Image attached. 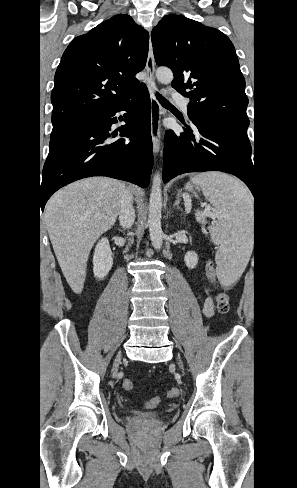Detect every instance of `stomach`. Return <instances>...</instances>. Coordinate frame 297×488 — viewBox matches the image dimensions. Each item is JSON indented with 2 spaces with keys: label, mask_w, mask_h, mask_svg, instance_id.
<instances>
[{
  "label": "stomach",
  "mask_w": 297,
  "mask_h": 488,
  "mask_svg": "<svg viewBox=\"0 0 297 488\" xmlns=\"http://www.w3.org/2000/svg\"><path fill=\"white\" fill-rule=\"evenodd\" d=\"M197 188H198V187H197V186H195V185H194V184H192V183H187V184H186V189H187L188 191L193 192V191H194V189H197Z\"/></svg>",
  "instance_id": "obj_1"
}]
</instances>
